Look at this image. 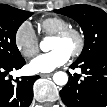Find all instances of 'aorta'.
<instances>
[{
	"instance_id": "762f6f07",
	"label": "aorta",
	"mask_w": 107,
	"mask_h": 107,
	"mask_svg": "<svg viewBox=\"0 0 107 107\" xmlns=\"http://www.w3.org/2000/svg\"><path fill=\"white\" fill-rule=\"evenodd\" d=\"M40 49L43 52H48L51 49L48 37L44 38L40 42ZM53 81L55 82V84L60 86L66 85L68 82V75L63 71L56 72L53 75Z\"/></svg>"
}]
</instances>
